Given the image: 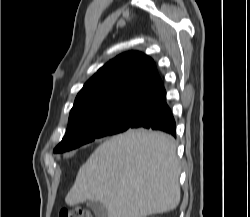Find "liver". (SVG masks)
<instances>
[{
	"mask_svg": "<svg viewBox=\"0 0 250 217\" xmlns=\"http://www.w3.org/2000/svg\"><path fill=\"white\" fill-rule=\"evenodd\" d=\"M176 148L175 140L161 132L130 129L113 136L81 166L65 202H99L108 217L171 211L180 202Z\"/></svg>",
	"mask_w": 250,
	"mask_h": 217,
	"instance_id": "6515ba94",
	"label": "liver"
}]
</instances>
